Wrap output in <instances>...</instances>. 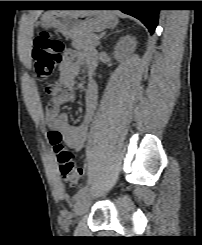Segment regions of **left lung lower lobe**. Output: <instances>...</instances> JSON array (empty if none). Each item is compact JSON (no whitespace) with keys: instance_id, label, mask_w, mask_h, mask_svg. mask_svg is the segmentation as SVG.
<instances>
[{"instance_id":"left-lung-lower-lobe-1","label":"left lung lower lobe","mask_w":202,"mask_h":245,"mask_svg":"<svg viewBox=\"0 0 202 245\" xmlns=\"http://www.w3.org/2000/svg\"><path fill=\"white\" fill-rule=\"evenodd\" d=\"M85 6H99L111 3L114 6L121 7L119 10L139 19L149 30L150 33L155 31L158 23L159 10L145 7L143 1H84Z\"/></svg>"}]
</instances>
